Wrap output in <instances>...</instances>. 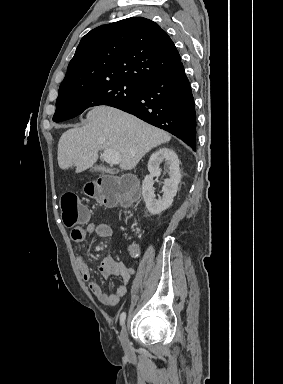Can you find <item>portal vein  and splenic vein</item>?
I'll return each mask as SVG.
<instances>
[{
    "label": "portal vein and splenic vein",
    "mask_w": 283,
    "mask_h": 384,
    "mask_svg": "<svg viewBox=\"0 0 283 384\" xmlns=\"http://www.w3.org/2000/svg\"><path fill=\"white\" fill-rule=\"evenodd\" d=\"M103 160H105L107 164H120L121 156L117 150H104Z\"/></svg>",
    "instance_id": "obj_1"
}]
</instances>
